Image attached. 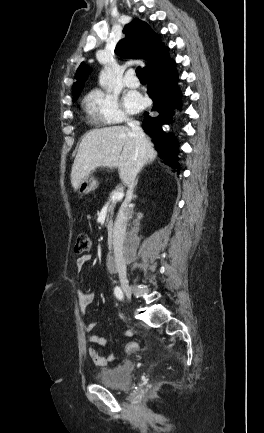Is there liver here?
Instances as JSON below:
<instances>
[{"label": "liver", "instance_id": "6515ba94", "mask_svg": "<svg viewBox=\"0 0 264 433\" xmlns=\"http://www.w3.org/2000/svg\"><path fill=\"white\" fill-rule=\"evenodd\" d=\"M145 138V163H150L157 152L150 138ZM135 149V139L128 127L112 126L89 131L80 143L72 166V187L77 190L83 178L97 167L118 168L120 179L128 185L136 169Z\"/></svg>", "mask_w": 264, "mask_h": 433}]
</instances>
